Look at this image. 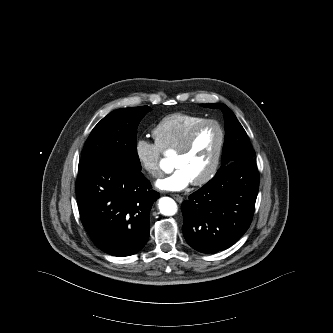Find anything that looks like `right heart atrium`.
I'll return each mask as SVG.
<instances>
[{"label": "right heart atrium", "mask_w": 333, "mask_h": 333, "mask_svg": "<svg viewBox=\"0 0 333 333\" xmlns=\"http://www.w3.org/2000/svg\"><path fill=\"white\" fill-rule=\"evenodd\" d=\"M134 150L141 168L153 178L160 177L162 174L161 150L156 142L140 138L135 142Z\"/></svg>", "instance_id": "obj_1"}]
</instances>
